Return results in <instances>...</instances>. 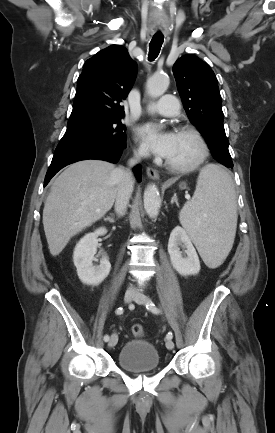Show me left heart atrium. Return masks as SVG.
<instances>
[{
  "instance_id": "39dd6f15",
  "label": "left heart atrium",
  "mask_w": 275,
  "mask_h": 433,
  "mask_svg": "<svg viewBox=\"0 0 275 433\" xmlns=\"http://www.w3.org/2000/svg\"><path fill=\"white\" fill-rule=\"evenodd\" d=\"M138 135L152 153L164 158L171 153L175 133L164 131L158 125L148 123L139 127Z\"/></svg>"
}]
</instances>
